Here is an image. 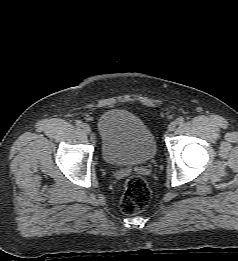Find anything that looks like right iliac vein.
I'll return each instance as SVG.
<instances>
[{
    "instance_id": "1",
    "label": "right iliac vein",
    "mask_w": 238,
    "mask_h": 261,
    "mask_svg": "<svg viewBox=\"0 0 238 261\" xmlns=\"http://www.w3.org/2000/svg\"><path fill=\"white\" fill-rule=\"evenodd\" d=\"M82 129H83L84 133H86V134H90L91 133V127L88 124H84L82 126Z\"/></svg>"
}]
</instances>
